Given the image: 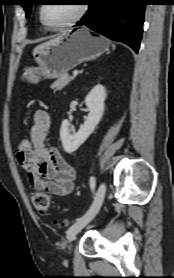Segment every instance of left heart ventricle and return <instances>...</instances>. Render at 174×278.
Masks as SVG:
<instances>
[{"label": "left heart ventricle", "instance_id": "left-heart-ventricle-1", "mask_svg": "<svg viewBox=\"0 0 174 278\" xmlns=\"http://www.w3.org/2000/svg\"><path fill=\"white\" fill-rule=\"evenodd\" d=\"M80 4H49L44 6L45 20L52 26L63 24L79 11Z\"/></svg>", "mask_w": 174, "mask_h": 278}]
</instances>
